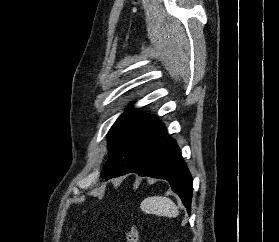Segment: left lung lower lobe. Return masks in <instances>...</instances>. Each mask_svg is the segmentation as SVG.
Here are the masks:
<instances>
[{
    "mask_svg": "<svg viewBox=\"0 0 279 242\" xmlns=\"http://www.w3.org/2000/svg\"><path fill=\"white\" fill-rule=\"evenodd\" d=\"M131 172L167 180L172 191L179 195L190 214L193 180L175 140L164 137L131 163L122 175Z\"/></svg>",
    "mask_w": 279,
    "mask_h": 242,
    "instance_id": "obj_1",
    "label": "left lung lower lobe"
}]
</instances>
